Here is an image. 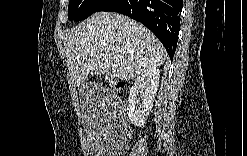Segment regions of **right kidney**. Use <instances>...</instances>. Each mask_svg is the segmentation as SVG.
I'll return each instance as SVG.
<instances>
[{"label":"right kidney","mask_w":247,"mask_h":156,"mask_svg":"<svg viewBox=\"0 0 247 156\" xmlns=\"http://www.w3.org/2000/svg\"><path fill=\"white\" fill-rule=\"evenodd\" d=\"M160 70L156 66L143 70L130 89L127 103V115L135 126H143L153 107L155 96L159 86ZM144 90L141 96L142 103L138 106L137 94Z\"/></svg>","instance_id":"right-kidney-1"}]
</instances>
